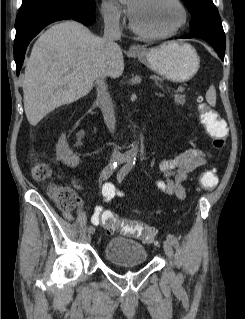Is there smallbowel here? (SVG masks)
I'll list each match as a JSON object with an SVG mask.
<instances>
[{
  "label": "small bowel",
  "instance_id": "c3829d8e",
  "mask_svg": "<svg viewBox=\"0 0 245 319\" xmlns=\"http://www.w3.org/2000/svg\"><path fill=\"white\" fill-rule=\"evenodd\" d=\"M205 161V155L195 149H188L171 158L163 159L158 165L159 170L163 174V178L155 179L154 185L162 193L183 200L186 197L184 182L188 175L203 166ZM108 184L107 194L103 195L106 202L116 197L124 198L126 196L123 191L117 190L113 184ZM74 187L77 190H81V186L77 183L74 184ZM104 212L102 206H97L95 208L91 218L94 225L100 223ZM64 217L69 220L72 219V215L67 212L64 213Z\"/></svg>",
  "mask_w": 245,
  "mask_h": 319
}]
</instances>
